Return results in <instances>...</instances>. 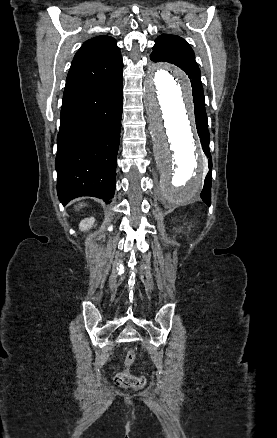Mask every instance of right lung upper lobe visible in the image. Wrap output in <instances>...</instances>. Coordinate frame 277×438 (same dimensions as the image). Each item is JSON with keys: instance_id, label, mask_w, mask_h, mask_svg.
<instances>
[{"instance_id": "obj_1", "label": "right lung upper lobe", "mask_w": 277, "mask_h": 438, "mask_svg": "<svg viewBox=\"0 0 277 438\" xmlns=\"http://www.w3.org/2000/svg\"><path fill=\"white\" fill-rule=\"evenodd\" d=\"M123 62L116 40L102 35L85 41L72 61L64 95L116 76Z\"/></svg>"}]
</instances>
